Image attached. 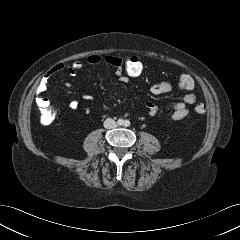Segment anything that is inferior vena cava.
<instances>
[{
  "mask_svg": "<svg viewBox=\"0 0 240 240\" xmlns=\"http://www.w3.org/2000/svg\"><path fill=\"white\" fill-rule=\"evenodd\" d=\"M104 127H105L106 129H113V128H116V127H117V123H116V121H114L113 119L107 118V119L104 121Z\"/></svg>",
  "mask_w": 240,
  "mask_h": 240,
  "instance_id": "1",
  "label": "inferior vena cava"
}]
</instances>
